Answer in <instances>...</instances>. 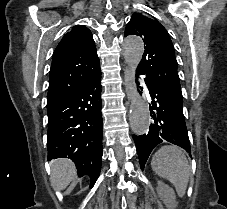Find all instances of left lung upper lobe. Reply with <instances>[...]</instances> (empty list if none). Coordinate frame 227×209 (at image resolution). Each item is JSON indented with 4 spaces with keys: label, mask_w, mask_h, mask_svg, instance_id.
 Here are the masks:
<instances>
[{
    "label": "left lung upper lobe",
    "mask_w": 227,
    "mask_h": 209,
    "mask_svg": "<svg viewBox=\"0 0 227 209\" xmlns=\"http://www.w3.org/2000/svg\"><path fill=\"white\" fill-rule=\"evenodd\" d=\"M128 35H138L144 41L145 50L137 72L146 76L147 84L183 99L175 51L166 29L156 20L134 13L126 25L124 36Z\"/></svg>",
    "instance_id": "1"
}]
</instances>
